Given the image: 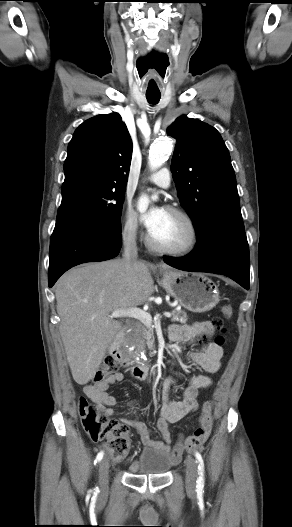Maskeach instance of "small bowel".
I'll list each match as a JSON object with an SVG mask.
<instances>
[{
    "label": "small bowel",
    "mask_w": 292,
    "mask_h": 527,
    "mask_svg": "<svg viewBox=\"0 0 292 527\" xmlns=\"http://www.w3.org/2000/svg\"><path fill=\"white\" fill-rule=\"evenodd\" d=\"M214 328L208 321L195 322L193 324L173 325L170 328L169 337L174 342H191L202 334H211ZM223 349L220 345L209 343L200 350L191 352L187 355L190 363L198 365L209 374L216 373L221 367ZM123 379L120 372L110 376L104 382L87 385L84 388L85 394L95 402L105 416L114 414L113 406L116 399L108 393V388ZM175 379L168 377L164 382V396L160 410V417L157 421V428L163 436V441H156L151 438V430L144 422L135 420H124L131 425L137 432L141 442L146 447L157 449L166 454L172 463L178 462L185 449L192 450L201 446L208 438L212 426V403L205 402L200 410L199 427L192 436L179 438L173 446L171 442L168 423H175L186 415L198 410L197 396L200 389L211 386L212 380L206 374L193 375L188 379V385L183 390L180 400L172 401L168 398L167 391L173 385Z\"/></svg>",
    "instance_id": "1"
}]
</instances>
